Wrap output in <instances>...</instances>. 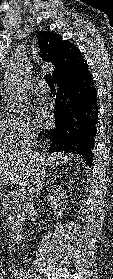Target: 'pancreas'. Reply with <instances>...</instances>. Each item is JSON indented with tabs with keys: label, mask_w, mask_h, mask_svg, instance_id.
Wrapping results in <instances>:
<instances>
[{
	"label": "pancreas",
	"mask_w": 113,
	"mask_h": 279,
	"mask_svg": "<svg viewBox=\"0 0 113 279\" xmlns=\"http://www.w3.org/2000/svg\"><path fill=\"white\" fill-rule=\"evenodd\" d=\"M1 204L4 209L12 210V215L8 219L9 228L12 229L15 226L22 225L24 218L23 197H20L16 191L7 192Z\"/></svg>",
	"instance_id": "pancreas-1"
}]
</instances>
